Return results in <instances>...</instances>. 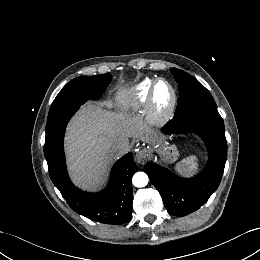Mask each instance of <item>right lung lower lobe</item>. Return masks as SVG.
I'll list each match as a JSON object with an SVG mask.
<instances>
[{
  "label": "right lung lower lobe",
  "instance_id": "obj_1",
  "mask_svg": "<svg viewBox=\"0 0 260 260\" xmlns=\"http://www.w3.org/2000/svg\"><path fill=\"white\" fill-rule=\"evenodd\" d=\"M65 127L52 140L45 141L44 146L49 174L54 185L75 212L90 220L113 225L127 222L132 213L131 179L138 169L132 153H128L115 163L105 191L83 192L72 184L66 170L63 152Z\"/></svg>",
  "mask_w": 260,
  "mask_h": 260
}]
</instances>
